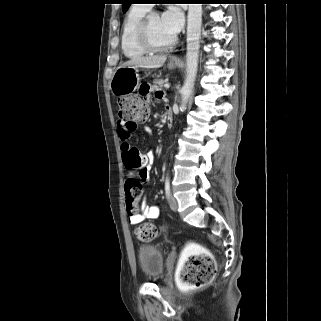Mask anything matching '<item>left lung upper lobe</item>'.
Instances as JSON below:
<instances>
[{
	"mask_svg": "<svg viewBox=\"0 0 321 321\" xmlns=\"http://www.w3.org/2000/svg\"><path fill=\"white\" fill-rule=\"evenodd\" d=\"M123 12H126L129 6L132 4L133 0H121Z\"/></svg>",
	"mask_w": 321,
	"mask_h": 321,
	"instance_id": "1",
	"label": "left lung upper lobe"
}]
</instances>
